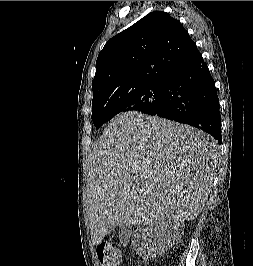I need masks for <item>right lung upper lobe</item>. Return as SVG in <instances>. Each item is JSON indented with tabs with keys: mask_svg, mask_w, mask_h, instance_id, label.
Returning <instances> with one entry per match:
<instances>
[{
	"mask_svg": "<svg viewBox=\"0 0 253 266\" xmlns=\"http://www.w3.org/2000/svg\"><path fill=\"white\" fill-rule=\"evenodd\" d=\"M199 55L178 20L165 12H152L111 38L99 53L92 81V105L164 81Z\"/></svg>",
	"mask_w": 253,
	"mask_h": 266,
	"instance_id": "right-lung-upper-lobe-1",
	"label": "right lung upper lobe"
}]
</instances>
